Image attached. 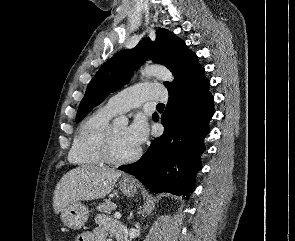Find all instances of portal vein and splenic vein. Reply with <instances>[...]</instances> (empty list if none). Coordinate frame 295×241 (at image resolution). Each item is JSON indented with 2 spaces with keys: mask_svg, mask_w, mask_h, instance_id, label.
Instances as JSON below:
<instances>
[{
  "mask_svg": "<svg viewBox=\"0 0 295 241\" xmlns=\"http://www.w3.org/2000/svg\"><path fill=\"white\" fill-rule=\"evenodd\" d=\"M114 217L116 219H120L121 218V214L119 212H115Z\"/></svg>",
  "mask_w": 295,
  "mask_h": 241,
  "instance_id": "obj_1",
  "label": "portal vein and splenic vein"
}]
</instances>
